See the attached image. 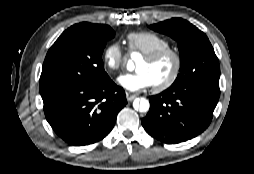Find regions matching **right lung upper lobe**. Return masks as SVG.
Here are the masks:
<instances>
[{
  "instance_id": "obj_1",
  "label": "right lung upper lobe",
  "mask_w": 254,
  "mask_h": 174,
  "mask_svg": "<svg viewBox=\"0 0 254 174\" xmlns=\"http://www.w3.org/2000/svg\"><path fill=\"white\" fill-rule=\"evenodd\" d=\"M85 23H86V22H85ZM86 24H89V25H91V26H95V27H102V26H104V25L91 24V23H86Z\"/></svg>"
}]
</instances>
